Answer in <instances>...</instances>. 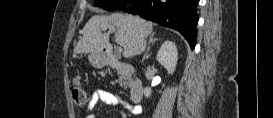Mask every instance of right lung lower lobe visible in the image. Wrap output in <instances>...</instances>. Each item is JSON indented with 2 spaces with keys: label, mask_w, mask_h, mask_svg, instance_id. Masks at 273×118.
<instances>
[{
  "label": "right lung lower lobe",
  "mask_w": 273,
  "mask_h": 118,
  "mask_svg": "<svg viewBox=\"0 0 273 118\" xmlns=\"http://www.w3.org/2000/svg\"><path fill=\"white\" fill-rule=\"evenodd\" d=\"M199 0H133L122 8L128 13L179 31L193 49L196 44Z\"/></svg>",
  "instance_id": "obj_1"
}]
</instances>
